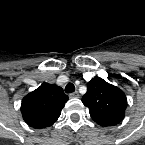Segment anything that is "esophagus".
Returning a JSON list of instances; mask_svg holds the SVG:
<instances>
[{"instance_id": "obj_1", "label": "esophagus", "mask_w": 145, "mask_h": 145, "mask_svg": "<svg viewBox=\"0 0 145 145\" xmlns=\"http://www.w3.org/2000/svg\"><path fill=\"white\" fill-rule=\"evenodd\" d=\"M79 96H80V95H79L78 92H73V93H70V94H69V97H70V98H79Z\"/></svg>"}]
</instances>
